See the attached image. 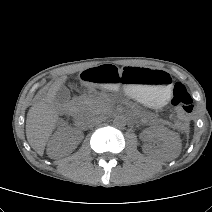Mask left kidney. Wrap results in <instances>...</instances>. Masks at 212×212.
<instances>
[{
  "label": "left kidney",
  "mask_w": 212,
  "mask_h": 212,
  "mask_svg": "<svg viewBox=\"0 0 212 212\" xmlns=\"http://www.w3.org/2000/svg\"><path fill=\"white\" fill-rule=\"evenodd\" d=\"M153 136L162 141V146L158 150V153L165 160L175 159L181 150V141L179 136L166 128H157L152 132ZM146 154H151L153 149L149 145H145L143 148Z\"/></svg>",
  "instance_id": "obj_1"
}]
</instances>
